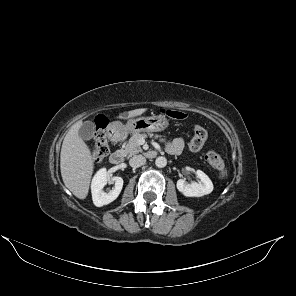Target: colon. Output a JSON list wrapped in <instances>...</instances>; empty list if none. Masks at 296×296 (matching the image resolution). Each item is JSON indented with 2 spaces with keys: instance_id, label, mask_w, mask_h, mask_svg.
<instances>
[{
  "instance_id": "obj_1",
  "label": "colon",
  "mask_w": 296,
  "mask_h": 296,
  "mask_svg": "<svg viewBox=\"0 0 296 296\" xmlns=\"http://www.w3.org/2000/svg\"><path fill=\"white\" fill-rule=\"evenodd\" d=\"M161 112L173 119L184 120L187 114L180 110L173 109H163ZM108 121L104 116H100L96 119V132L94 135V145L92 147L91 153L92 158L95 162L100 161L109 153V143L105 133V128L107 127ZM208 134L205 128L202 126H194L193 137L189 142V148L192 151L200 150L206 140ZM205 160L216 170L222 171L225 168L224 161L222 157L215 151H208L205 154Z\"/></svg>"
}]
</instances>
